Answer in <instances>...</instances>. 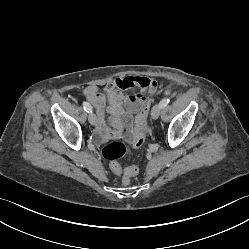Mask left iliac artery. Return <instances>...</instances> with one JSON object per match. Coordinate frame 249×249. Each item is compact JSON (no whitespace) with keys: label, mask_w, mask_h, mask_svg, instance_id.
I'll return each instance as SVG.
<instances>
[{"label":"left iliac artery","mask_w":249,"mask_h":249,"mask_svg":"<svg viewBox=\"0 0 249 249\" xmlns=\"http://www.w3.org/2000/svg\"><path fill=\"white\" fill-rule=\"evenodd\" d=\"M169 101H170L169 99H163V100L159 103L160 107H161V108L166 107L167 104L169 103Z\"/></svg>","instance_id":"left-iliac-artery-1"}]
</instances>
